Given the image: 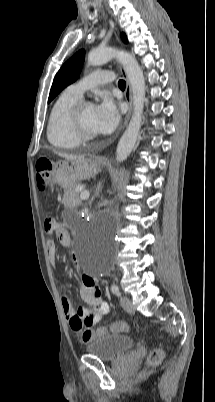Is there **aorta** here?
<instances>
[{
    "label": "aorta",
    "instance_id": "1",
    "mask_svg": "<svg viewBox=\"0 0 215 402\" xmlns=\"http://www.w3.org/2000/svg\"><path fill=\"white\" fill-rule=\"evenodd\" d=\"M112 59L118 60L125 70L133 93V114L116 148V160L122 162L132 152L141 128L145 100V79L136 58L126 51L113 47L96 49L89 53L88 63L99 66Z\"/></svg>",
    "mask_w": 215,
    "mask_h": 402
}]
</instances>
